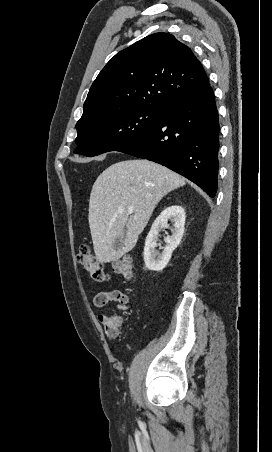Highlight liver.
<instances>
[{
    "label": "liver",
    "mask_w": 272,
    "mask_h": 452,
    "mask_svg": "<svg viewBox=\"0 0 272 452\" xmlns=\"http://www.w3.org/2000/svg\"><path fill=\"white\" fill-rule=\"evenodd\" d=\"M185 179L146 159L120 161L96 179L89 200V226L96 259L109 263L131 251L156 205ZM133 207L132 213L128 208ZM124 235V239L122 240ZM122 246L116 247V240Z\"/></svg>",
    "instance_id": "6515ba94"
}]
</instances>
